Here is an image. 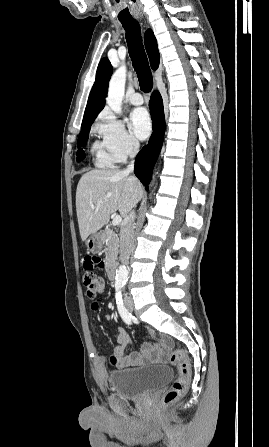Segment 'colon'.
<instances>
[{
	"label": "colon",
	"mask_w": 269,
	"mask_h": 447,
	"mask_svg": "<svg viewBox=\"0 0 269 447\" xmlns=\"http://www.w3.org/2000/svg\"><path fill=\"white\" fill-rule=\"evenodd\" d=\"M82 270L85 271L82 277V284L85 288L87 298H95L103 291L104 282L97 277L92 271H102L103 263L99 253H86L85 262L82 263ZM169 345V343H167ZM168 362L178 367V376L173 381L171 387L163 394L161 402L168 406L173 404L180 396H182L189 385L192 371L191 363L185 351L181 349L170 350L167 353ZM110 363L115 365L117 358L110 356Z\"/></svg>",
	"instance_id": "5ec220e1"
}]
</instances>
